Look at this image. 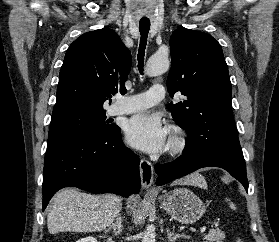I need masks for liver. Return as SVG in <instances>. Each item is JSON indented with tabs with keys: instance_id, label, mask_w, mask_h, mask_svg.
I'll list each match as a JSON object with an SVG mask.
<instances>
[{
	"instance_id": "6515ba94",
	"label": "liver",
	"mask_w": 279,
	"mask_h": 242,
	"mask_svg": "<svg viewBox=\"0 0 279 242\" xmlns=\"http://www.w3.org/2000/svg\"><path fill=\"white\" fill-rule=\"evenodd\" d=\"M176 183L206 189L207 183L199 174ZM122 208V200L114 194L91 195L75 189H63L51 201L47 216L50 234L58 232H95L110 226Z\"/></svg>"
}]
</instances>
